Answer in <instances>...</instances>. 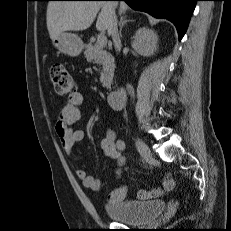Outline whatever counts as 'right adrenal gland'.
I'll return each mask as SVG.
<instances>
[{
	"mask_svg": "<svg viewBox=\"0 0 231 231\" xmlns=\"http://www.w3.org/2000/svg\"><path fill=\"white\" fill-rule=\"evenodd\" d=\"M130 21H134V20H129V19L121 17L120 22H119V26H120L119 35H120V37H122V28L127 24V22H130Z\"/></svg>",
	"mask_w": 231,
	"mask_h": 231,
	"instance_id": "1",
	"label": "right adrenal gland"
}]
</instances>
